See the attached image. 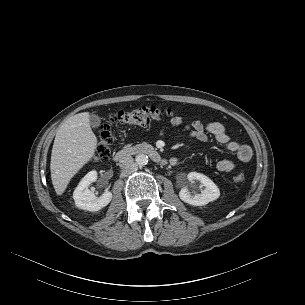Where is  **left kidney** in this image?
<instances>
[{
	"label": "left kidney",
	"instance_id": "obj_1",
	"mask_svg": "<svg viewBox=\"0 0 305 305\" xmlns=\"http://www.w3.org/2000/svg\"><path fill=\"white\" fill-rule=\"evenodd\" d=\"M189 185L197 181L201 183V193H195L189 190L188 186L183 187L179 192V197L185 203L192 206H204L219 198L220 190L216 184L207 176L197 172H190L187 175Z\"/></svg>",
	"mask_w": 305,
	"mask_h": 305
}]
</instances>
